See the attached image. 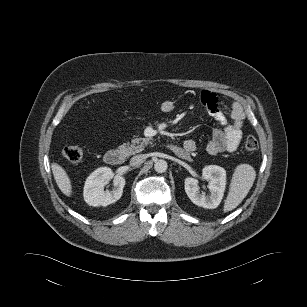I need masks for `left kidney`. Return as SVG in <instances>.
<instances>
[{"label":"left kidney","mask_w":307,"mask_h":307,"mask_svg":"<svg viewBox=\"0 0 307 307\" xmlns=\"http://www.w3.org/2000/svg\"><path fill=\"white\" fill-rule=\"evenodd\" d=\"M202 177L209 181V195L200 192L198 180L192 177L185 179V192L195 205L207 209H214L218 207L224 195L226 171L220 166L209 165L203 168Z\"/></svg>","instance_id":"left-kidney-1"}]
</instances>
